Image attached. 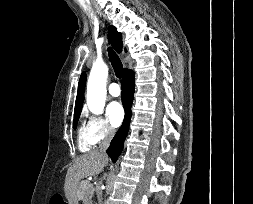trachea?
Returning <instances> with one entry per match:
<instances>
[{
  "instance_id": "3493384b",
  "label": "trachea",
  "mask_w": 253,
  "mask_h": 204,
  "mask_svg": "<svg viewBox=\"0 0 253 204\" xmlns=\"http://www.w3.org/2000/svg\"><path fill=\"white\" fill-rule=\"evenodd\" d=\"M108 50H109V58L113 66L114 72L118 78H121L123 73V65L117 54L110 48Z\"/></svg>"
}]
</instances>
